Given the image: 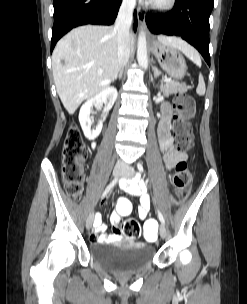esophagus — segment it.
Returning a JSON list of instances; mask_svg holds the SVG:
<instances>
[{
	"instance_id": "obj_1",
	"label": "esophagus",
	"mask_w": 247,
	"mask_h": 304,
	"mask_svg": "<svg viewBox=\"0 0 247 304\" xmlns=\"http://www.w3.org/2000/svg\"><path fill=\"white\" fill-rule=\"evenodd\" d=\"M137 20H138L139 27L141 29H145V13L144 12L138 10V12H137ZM146 33L149 36V31L148 30H146Z\"/></svg>"
}]
</instances>
